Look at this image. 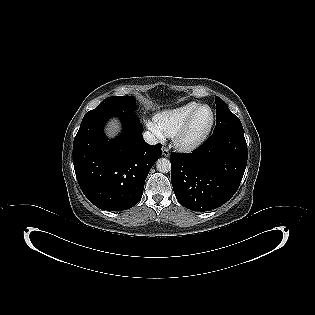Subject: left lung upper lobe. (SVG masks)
<instances>
[{
  "instance_id": "5c2ea615",
  "label": "left lung upper lobe",
  "mask_w": 315,
  "mask_h": 315,
  "mask_svg": "<svg viewBox=\"0 0 315 315\" xmlns=\"http://www.w3.org/2000/svg\"><path fill=\"white\" fill-rule=\"evenodd\" d=\"M215 103L217 107L216 127L213 134H218L224 131L243 132V127L239 118L229 110L226 103L218 96L215 97Z\"/></svg>"
}]
</instances>
